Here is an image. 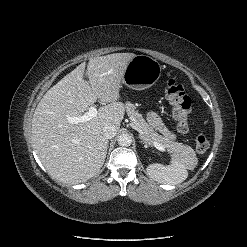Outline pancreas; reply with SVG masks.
I'll use <instances>...</instances> for the list:
<instances>
[{
    "mask_svg": "<svg viewBox=\"0 0 247 247\" xmlns=\"http://www.w3.org/2000/svg\"><path fill=\"white\" fill-rule=\"evenodd\" d=\"M127 114L139 132V136L144 143L153 144L157 142L173 153L174 157H183L191 159L195 156L194 150L187 145L170 140L167 136L158 134L143 118V116L136 111V107L132 103L126 104Z\"/></svg>",
    "mask_w": 247,
    "mask_h": 247,
    "instance_id": "1",
    "label": "pancreas"
}]
</instances>
